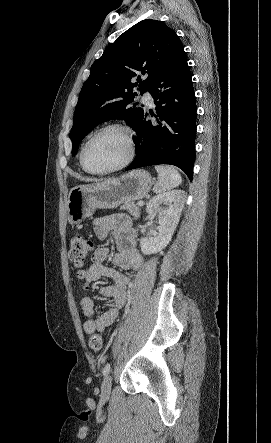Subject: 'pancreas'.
<instances>
[{
	"label": "pancreas",
	"mask_w": 271,
	"mask_h": 443,
	"mask_svg": "<svg viewBox=\"0 0 271 443\" xmlns=\"http://www.w3.org/2000/svg\"><path fill=\"white\" fill-rule=\"evenodd\" d=\"M120 210H127L131 216H134V218H140V208L137 206V204H134V202H126L124 206H120Z\"/></svg>",
	"instance_id": "1"
}]
</instances>
